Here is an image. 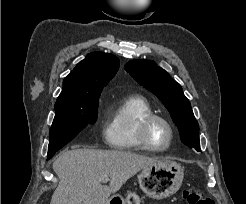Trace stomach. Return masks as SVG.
Masks as SVG:
<instances>
[{"mask_svg": "<svg viewBox=\"0 0 246 204\" xmlns=\"http://www.w3.org/2000/svg\"><path fill=\"white\" fill-rule=\"evenodd\" d=\"M184 178L183 167L174 161L161 160L144 168L138 176L140 188L153 199L167 198L176 193ZM139 197L128 192L126 198L112 195L105 204H138Z\"/></svg>", "mask_w": 246, "mask_h": 204, "instance_id": "obj_1", "label": "stomach"}]
</instances>
